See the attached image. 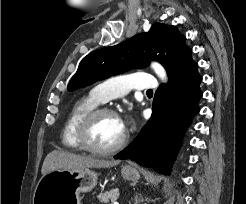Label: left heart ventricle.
I'll list each match as a JSON object with an SVG mask.
<instances>
[{"mask_svg": "<svg viewBox=\"0 0 246 204\" xmlns=\"http://www.w3.org/2000/svg\"><path fill=\"white\" fill-rule=\"evenodd\" d=\"M125 129L119 118L113 115H103L92 124L88 138L92 145L100 148L116 144L122 137Z\"/></svg>", "mask_w": 246, "mask_h": 204, "instance_id": "b2bd125f", "label": "left heart ventricle"}]
</instances>
